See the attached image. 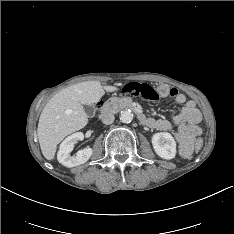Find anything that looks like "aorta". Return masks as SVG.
Masks as SVG:
<instances>
[{
    "label": "aorta",
    "mask_w": 234,
    "mask_h": 234,
    "mask_svg": "<svg viewBox=\"0 0 234 234\" xmlns=\"http://www.w3.org/2000/svg\"><path fill=\"white\" fill-rule=\"evenodd\" d=\"M133 120V113L131 110H123L120 114V121L123 123H130Z\"/></svg>",
    "instance_id": "1"
}]
</instances>
